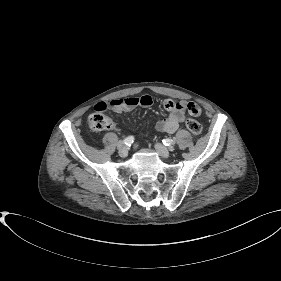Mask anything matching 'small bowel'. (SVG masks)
<instances>
[{
  "label": "small bowel",
  "instance_id": "small-bowel-1",
  "mask_svg": "<svg viewBox=\"0 0 281 281\" xmlns=\"http://www.w3.org/2000/svg\"><path fill=\"white\" fill-rule=\"evenodd\" d=\"M153 104V98L150 95H142L140 97H126L113 99L108 102H98L95 110L111 109L117 113L131 111L137 107H150ZM195 104L185 101H174L173 99L166 98L163 100L162 105L168 112V117L165 119L158 118L155 121V128L158 131L172 134L179 125L184 121L186 112L192 115H199L200 113H193L189 110V106Z\"/></svg>",
  "mask_w": 281,
  "mask_h": 281
}]
</instances>
